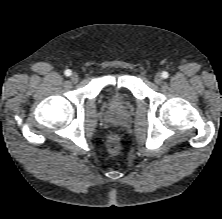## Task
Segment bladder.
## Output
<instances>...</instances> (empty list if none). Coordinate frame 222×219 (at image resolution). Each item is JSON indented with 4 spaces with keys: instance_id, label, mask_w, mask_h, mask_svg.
<instances>
[{
    "instance_id": "1",
    "label": "bladder",
    "mask_w": 222,
    "mask_h": 219,
    "mask_svg": "<svg viewBox=\"0 0 222 219\" xmlns=\"http://www.w3.org/2000/svg\"><path fill=\"white\" fill-rule=\"evenodd\" d=\"M118 97H119V94L117 92H115L114 90H112L109 94V98L111 99L110 101L113 103V104H117L118 103Z\"/></svg>"
}]
</instances>
